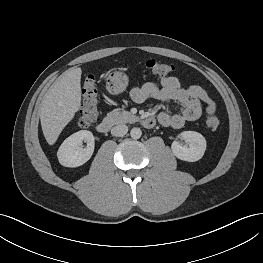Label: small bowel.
<instances>
[{"mask_svg": "<svg viewBox=\"0 0 263 263\" xmlns=\"http://www.w3.org/2000/svg\"><path fill=\"white\" fill-rule=\"evenodd\" d=\"M130 96L136 103H143L150 98L177 102L180 108L178 113L170 114L163 111L158 114V122L162 126L174 129L197 120L202 114V103L206 105V115H214L216 111L215 102L202 87L183 86L179 79L173 76L162 77L157 82H147L135 87Z\"/></svg>", "mask_w": 263, "mask_h": 263, "instance_id": "1", "label": "small bowel"}]
</instances>
